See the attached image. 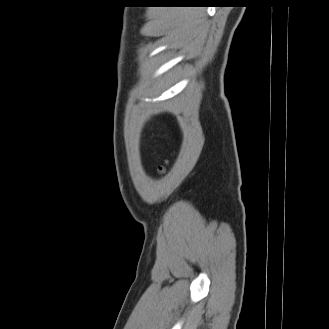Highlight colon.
<instances>
[{
	"mask_svg": "<svg viewBox=\"0 0 329 329\" xmlns=\"http://www.w3.org/2000/svg\"><path fill=\"white\" fill-rule=\"evenodd\" d=\"M160 171L162 172V171H163V169H162V168H160Z\"/></svg>",
	"mask_w": 329,
	"mask_h": 329,
	"instance_id": "obj_1",
	"label": "colon"
}]
</instances>
